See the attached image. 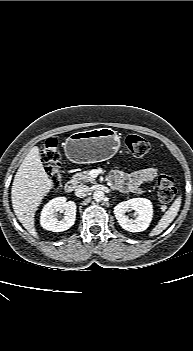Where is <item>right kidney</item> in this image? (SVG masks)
Returning <instances> with one entry per match:
<instances>
[{"label":"right kidney","mask_w":193,"mask_h":351,"mask_svg":"<svg viewBox=\"0 0 193 351\" xmlns=\"http://www.w3.org/2000/svg\"><path fill=\"white\" fill-rule=\"evenodd\" d=\"M57 212L64 213V218L62 220L56 218L55 214ZM75 219V202L66 201L65 197H57L44 205L41 211L40 224L46 230L62 232L68 230L75 223Z\"/></svg>","instance_id":"1"}]
</instances>
